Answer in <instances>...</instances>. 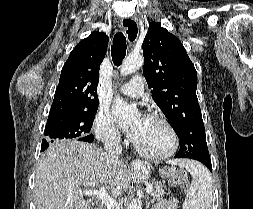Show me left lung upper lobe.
I'll list each match as a JSON object with an SVG mask.
<instances>
[{"label": "left lung upper lobe", "instance_id": "1", "mask_svg": "<svg viewBox=\"0 0 253 209\" xmlns=\"http://www.w3.org/2000/svg\"><path fill=\"white\" fill-rule=\"evenodd\" d=\"M142 48L143 73L152 97L181 142L176 157H210L196 95L197 72L181 41L153 22Z\"/></svg>", "mask_w": 253, "mask_h": 209}]
</instances>
